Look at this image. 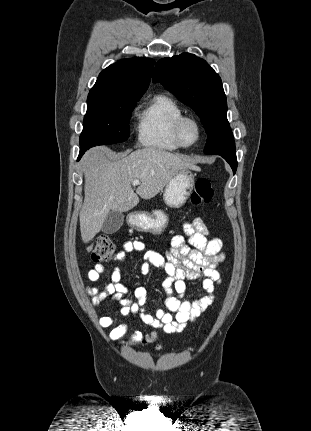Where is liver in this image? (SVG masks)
I'll return each mask as SVG.
<instances>
[{
    "mask_svg": "<svg viewBox=\"0 0 311 431\" xmlns=\"http://www.w3.org/2000/svg\"><path fill=\"white\" fill-rule=\"evenodd\" d=\"M108 152L113 154L114 162L107 160ZM81 168L85 198L79 219L85 243L100 231L109 212H129L138 206L139 198H155L183 168L199 170L191 158L176 156L159 148L114 154L105 146L88 150L81 160ZM133 180H140L136 190L132 186ZM86 249L91 251L93 243Z\"/></svg>",
    "mask_w": 311,
    "mask_h": 431,
    "instance_id": "6515ba94",
    "label": "liver"
}]
</instances>
